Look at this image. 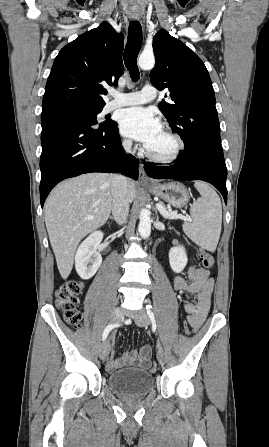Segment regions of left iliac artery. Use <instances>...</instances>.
Returning a JSON list of instances; mask_svg holds the SVG:
<instances>
[{"mask_svg": "<svg viewBox=\"0 0 269 447\" xmlns=\"http://www.w3.org/2000/svg\"><path fill=\"white\" fill-rule=\"evenodd\" d=\"M146 309H147V314L149 315V317L154 316L153 313H152V311H151V309H152V306H151V305H147V306H146Z\"/></svg>", "mask_w": 269, "mask_h": 447, "instance_id": "left-iliac-artery-1", "label": "left iliac artery"}]
</instances>
